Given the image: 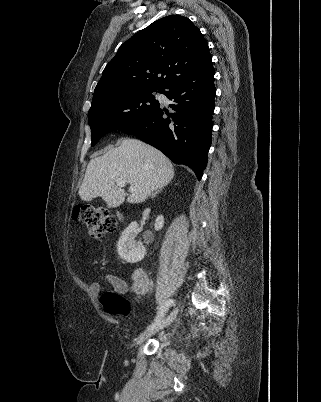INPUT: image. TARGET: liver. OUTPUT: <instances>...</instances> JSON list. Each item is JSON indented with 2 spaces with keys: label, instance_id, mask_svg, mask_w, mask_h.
I'll list each match as a JSON object with an SVG mask.
<instances>
[{
  "label": "liver",
  "instance_id": "liver-1",
  "mask_svg": "<svg viewBox=\"0 0 321 402\" xmlns=\"http://www.w3.org/2000/svg\"><path fill=\"white\" fill-rule=\"evenodd\" d=\"M173 177V165L162 152L138 139L124 138L120 146L90 160L78 193L84 201L101 197L107 207L116 208L126 196L116 184L117 179H125L135 187L127 202L136 204L166 186Z\"/></svg>",
  "mask_w": 321,
  "mask_h": 402
}]
</instances>
